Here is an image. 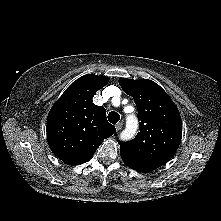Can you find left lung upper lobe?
<instances>
[{"label":"left lung upper lobe","instance_id":"1","mask_svg":"<svg viewBox=\"0 0 221 221\" xmlns=\"http://www.w3.org/2000/svg\"><path fill=\"white\" fill-rule=\"evenodd\" d=\"M119 84L132 96L141 121L138 134L129 142H118L123 161L143 172L165 164L177 151L182 137L179 111L167 93L147 79L122 78Z\"/></svg>","mask_w":221,"mask_h":221}]
</instances>
